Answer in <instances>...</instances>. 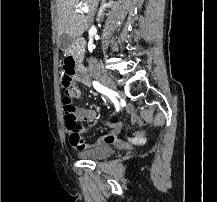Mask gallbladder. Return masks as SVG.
<instances>
[{
    "instance_id": "gallbladder-1",
    "label": "gallbladder",
    "mask_w": 217,
    "mask_h": 202,
    "mask_svg": "<svg viewBox=\"0 0 217 202\" xmlns=\"http://www.w3.org/2000/svg\"><path fill=\"white\" fill-rule=\"evenodd\" d=\"M72 43L73 40L69 34H61V36H59V44L62 51H67Z\"/></svg>"
}]
</instances>
